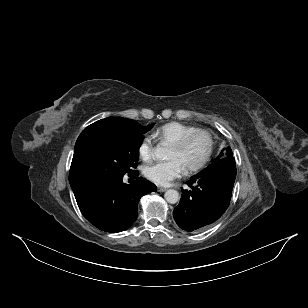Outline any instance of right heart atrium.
<instances>
[{"label":"right heart atrium","mask_w":308,"mask_h":308,"mask_svg":"<svg viewBox=\"0 0 308 308\" xmlns=\"http://www.w3.org/2000/svg\"><path fill=\"white\" fill-rule=\"evenodd\" d=\"M138 156L144 162H149L153 157L154 143L150 136H144L137 148Z\"/></svg>","instance_id":"right-heart-atrium-1"}]
</instances>
